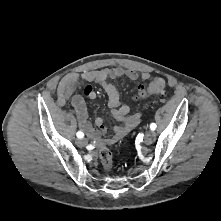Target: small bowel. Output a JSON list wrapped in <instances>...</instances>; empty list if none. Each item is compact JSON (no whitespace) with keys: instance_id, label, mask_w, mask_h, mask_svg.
<instances>
[{"instance_id":"c3829d8e","label":"small bowel","mask_w":221,"mask_h":221,"mask_svg":"<svg viewBox=\"0 0 221 221\" xmlns=\"http://www.w3.org/2000/svg\"><path fill=\"white\" fill-rule=\"evenodd\" d=\"M127 77L130 80H137L139 77L142 80H148L149 74L142 73L139 75L132 69L122 67L103 68L99 70L85 71L81 74L71 73L62 78L57 90V102L63 106L68 99L75 109L79 127L87 135L91 136L100 145H112L123 139L139 122L142 118V113H130V108L127 104L122 103L119 92L114 84L109 80ZM83 79L89 83L83 86V91L91 100L96 99L97 89L91 83L99 84L107 95L109 115L114 119L121 122V125L115 126L112 133L106 136V128L103 124L102 118L95 119L94 128L88 119V112L85 101L80 95H73L75 86Z\"/></svg>"}]
</instances>
